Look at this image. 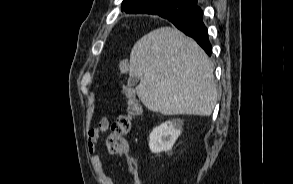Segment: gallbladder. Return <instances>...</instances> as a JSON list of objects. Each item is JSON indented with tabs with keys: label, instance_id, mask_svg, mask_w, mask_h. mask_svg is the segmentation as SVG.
I'll use <instances>...</instances> for the list:
<instances>
[{
	"label": "gallbladder",
	"instance_id": "gallbladder-1",
	"mask_svg": "<svg viewBox=\"0 0 293 184\" xmlns=\"http://www.w3.org/2000/svg\"><path fill=\"white\" fill-rule=\"evenodd\" d=\"M139 79L137 76H132L129 78L130 86H135L138 83Z\"/></svg>",
	"mask_w": 293,
	"mask_h": 184
}]
</instances>
